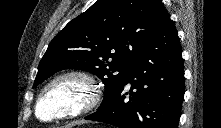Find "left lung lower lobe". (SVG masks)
Returning a JSON list of instances; mask_svg holds the SVG:
<instances>
[{
  "label": "left lung lower lobe",
  "mask_w": 221,
  "mask_h": 128,
  "mask_svg": "<svg viewBox=\"0 0 221 128\" xmlns=\"http://www.w3.org/2000/svg\"><path fill=\"white\" fill-rule=\"evenodd\" d=\"M183 68L177 30L168 17L135 55L111 101L85 119L118 128H178L185 90Z\"/></svg>",
  "instance_id": "1"
}]
</instances>
